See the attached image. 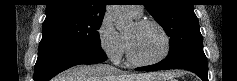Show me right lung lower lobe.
Segmentation results:
<instances>
[{
	"label": "right lung lower lobe",
	"mask_w": 237,
	"mask_h": 81,
	"mask_svg": "<svg viewBox=\"0 0 237 81\" xmlns=\"http://www.w3.org/2000/svg\"><path fill=\"white\" fill-rule=\"evenodd\" d=\"M107 59L102 48L40 44L34 81H49L58 73L79 64H96Z\"/></svg>",
	"instance_id": "98d812e1"
}]
</instances>
